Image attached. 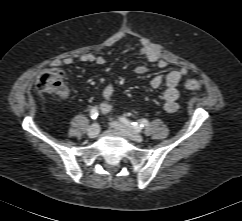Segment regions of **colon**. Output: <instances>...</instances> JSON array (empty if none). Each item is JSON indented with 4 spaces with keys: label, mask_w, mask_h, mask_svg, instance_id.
I'll return each instance as SVG.
<instances>
[{
    "label": "colon",
    "mask_w": 242,
    "mask_h": 221,
    "mask_svg": "<svg viewBox=\"0 0 242 221\" xmlns=\"http://www.w3.org/2000/svg\"><path fill=\"white\" fill-rule=\"evenodd\" d=\"M184 86L188 90H197L201 87V82L198 79L189 78L184 82ZM36 87L40 93L63 95L65 91L62 70L56 67L43 69L37 76Z\"/></svg>",
    "instance_id": "5ec220e1"
}]
</instances>
